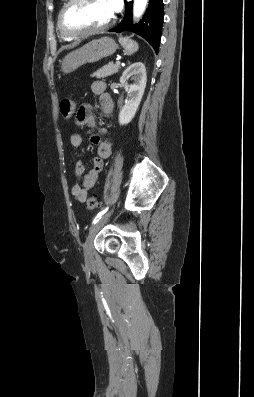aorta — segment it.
I'll use <instances>...</instances> for the list:
<instances>
[{
  "label": "aorta",
  "mask_w": 254,
  "mask_h": 397,
  "mask_svg": "<svg viewBox=\"0 0 254 397\" xmlns=\"http://www.w3.org/2000/svg\"><path fill=\"white\" fill-rule=\"evenodd\" d=\"M147 2L148 0H134V7H133L134 17L138 18L144 13Z\"/></svg>",
  "instance_id": "aorta-1"
}]
</instances>
